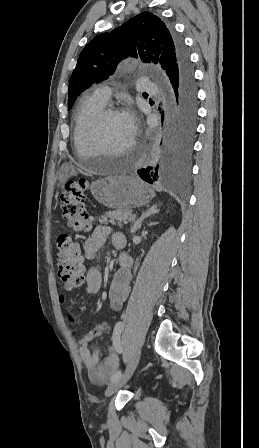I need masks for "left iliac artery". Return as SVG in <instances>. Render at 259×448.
<instances>
[{
    "instance_id": "obj_1",
    "label": "left iliac artery",
    "mask_w": 259,
    "mask_h": 448,
    "mask_svg": "<svg viewBox=\"0 0 259 448\" xmlns=\"http://www.w3.org/2000/svg\"><path fill=\"white\" fill-rule=\"evenodd\" d=\"M124 327V323L123 322H118L113 330V335H112V341H113V346L116 350L117 353L121 354L123 352L122 349V345H121V340H120V336H121V332L123 330ZM122 375V371L118 370L116 371L113 376L111 377V382L115 381L116 379H118L120 376Z\"/></svg>"
}]
</instances>
